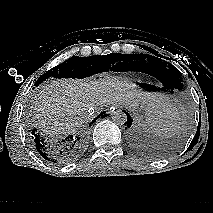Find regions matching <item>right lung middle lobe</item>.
Returning <instances> with one entry per match:
<instances>
[{
  "label": "right lung middle lobe",
  "mask_w": 213,
  "mask_h": 213,
  "mask_svg": "<svg viewBox=\"0 0 213 213\" xmlns=\"http://www.w3.org/2000/svg\"><path fill=\"white\" fill-rule=\"evenodd\" d=\"M123 54L111 53L103 56H90L87 58L72 56L60 66H56L44 73L37 81H44L50 76L56 78H85L96 73L114 71L116 62L121 61ZM125 63V62H124Z\"/></svg>",
  "instance_id": "dd1d6c3e"
}]
</instances>
